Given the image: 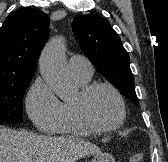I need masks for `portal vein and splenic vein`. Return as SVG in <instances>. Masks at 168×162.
<instances>
[{
    "label": "portal vein and splenic vein",
    "instance_id": "portal-vein-and-splenic-vein-1",
    "mask_svg": "<svg viewBox=\"0 0 168 162\" xmlns=\"http://www.w3.org/2000/svg\"><path fill=\"white\" fill-rule=\"evenodd\" d=\"M29 162H36L35 160H29Z\"/></svg>",
    "mask_w": 168,
    "mask_h": 162
}]
</instances>
